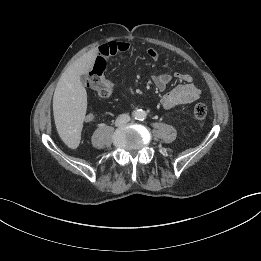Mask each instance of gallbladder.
<instances>
[{"label": "gallbladder", "instance_id": "bac80fb5", "mask_svg": "<svg viewBox=\"0 0 261 261\" xmlns=\"http://www.w3.org/2000/svg\"><path fill=\"white\" fill-rule=\"evenodd\" d=\"M80 79H81L82 83H85L87 76L85 74H83V75L80 76Z\"/></svg>", "mask_w": 261, "mask_h": 261}]
</instances>
